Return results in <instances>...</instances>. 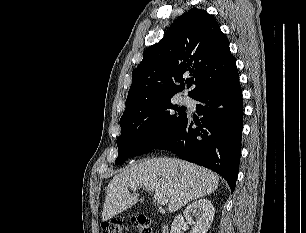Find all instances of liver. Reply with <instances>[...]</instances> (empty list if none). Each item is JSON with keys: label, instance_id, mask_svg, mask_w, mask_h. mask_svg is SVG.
<instances>
[{"label": "liver", "instance_id": "liver-1", "mask_svg": "<svg viewBox=\"0 0 306 233\" xmlns=\"http://www.w3.org/2000/svg\"><path fill=\"white\" fill-rule=\"evenodd\" d=\"M219 177L198 165L175 159H144L116 175L108 184L102 221L127 210L144 198L131 194L128 187H142L168 199V211L176 212L188 202L214 192Z\"/></svg>", "mask_w": 306, "mask_h": 233}]
</instances>
